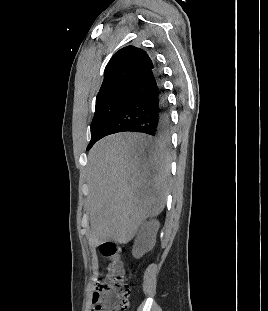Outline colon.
<instances>
[{
    "instance_id": "obj_1",
    "label": "colon",
    "mask_w": 268,
    "mask_h": 311,
    "mask_svg": "<svg viewBox=\"0 0 268 311\" xmlns=\"http://www.w3.org/2000/svg\"><path fill=\"white\" fill-rule=\"evenodd\" d=\"M101 254L107 261L106 275L96 286L92 311H125L129 305L130 289L119 249L104 244Z\"/></svg>"
}]
</instances>
